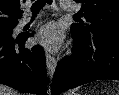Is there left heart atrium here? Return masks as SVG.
I'll use <instances>...</instances> for the list:
<instances>
[{
    "label": "left heart atrium",
    "mask_w": 119,
    "mask_h": 95,
    "mask_svg": "<svg viewBox=\"0 0 119 95\" xmlns=\"http://www.w3.org/2000/svg\"><path fill=\"white\" fill-rule=\"evenodd\" d=\"M63 40V27L56 22H50L44 25L36 35V41L51 51L58 50L61 47Z\"/></svg>",
    "instance_id": "39dd6f15"
}]
</instances>
